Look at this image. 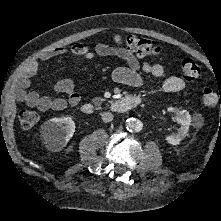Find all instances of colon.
Instances as JSON below:
<instances>
[{
    "label": "colon",
    "mask_w": 221,
    "mask_h": 221,
    "mask_svg": "<svg viewBox=\"0 0 221 221\" xmlns=\"http://www.w3.org/2000/svg\"><path fill=\"white\" fill-rule=\"evenodd\" d=\"M111 48L139 56L158 57L161 54L160 46L149 39L136 36H115ZM180 72L182 77L189 81L198 79L201 73L199 65L192 59L182 61ZM201 101L204 107L211 108L221 104V96L213 89L205 88L201 93ZM19 122L22 128L31 129L39 122V114L34 110H24L19 115Z\"/></svg>",
    "instance_id": "obj_1"
}]
</instances>
